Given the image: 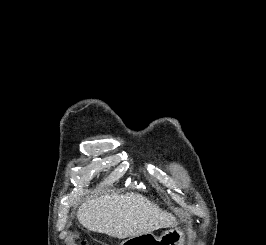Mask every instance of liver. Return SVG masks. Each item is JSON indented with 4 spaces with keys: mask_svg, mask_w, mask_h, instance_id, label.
<instances>
[{
    "mask_svg": "<svg viewBox=\"0 0 266 245\" xmlns=\"http://www.w3.org/2000/svg\"><path fill=\"white\" fill-rule=\"evenodd\" d=\"M77 219L88 231L117 239L147 235L178 225L176 217L139 193H105L104 197L83 203L77 211Z\"/></svg>",
    "mask_w": 266,
    "mask_h": 245,
    "instance_id": "liver-1",
    "label": "liver"
}]
</instances>
